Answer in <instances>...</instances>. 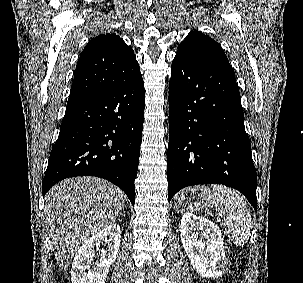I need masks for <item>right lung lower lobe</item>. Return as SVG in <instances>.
Segmentation results:
<instances>
[{
  "label": "right lung lower lobe",
  "instance_id": "right-lung-lower-lobe-1",
  "mask_svg": "<svg viewBox=\"0 0 303 283\" xmlns=\"http://www.w3.org/2000/svg\"><path fill=\"white\" fill-rule=\"evenodd\" d=\"M142 76L115 91L67 105L50 153L43 195L57 182L97 176L135 201L145 107Z\"/></svg>",
  "mask_w": 303,
  "mask_h": 283
}]
</instances>
